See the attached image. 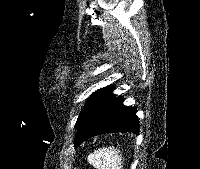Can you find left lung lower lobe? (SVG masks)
Listing matches in <instances>:
<instances>
[{
    "mask_svg": "<svg viewBox=\"0 0 200 169\" xmlns=\"http://www.w3.org/2000/svg\"><path fill=\"white\" fill-rule=\"evenodd\" d=\"M123 97L109 94L97 102L78 126L75 147L100 134L114 132L139 133L136 108L122 105Z\"/></svg>",
    "mask_w": 200,
    "mask_h": 169,
    "instance_id": "left-lung-lower-lobe-1",
    "label": "left lung lower lobe"
}]
</instances>
